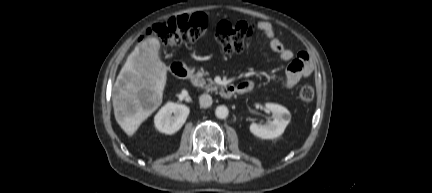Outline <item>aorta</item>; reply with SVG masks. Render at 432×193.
<instances>
[{
  "label": "aorta",
  "instance_id": "762f6f07",
  "mask_svg": "<svg viewBox=\"0 0 432 193\" xmlns=\"http://www.w3.org/2000/svg\"><path fill=\"white\" fill-rule=\"evenodd\" d=\"M229 114L228 108L224 105H220L215 110V115L219 119H225Z\"/></svg>",
  "mask_w": 432,
  "mask_h": 193
}]
</instances>
